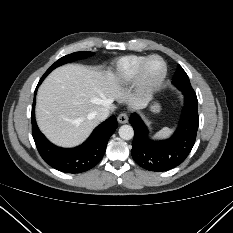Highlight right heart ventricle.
I'll list each match as a JSON object with an SVG mask.
<instances>
[{
    "instance_id": "e07e8e85",
    "label": "right heart ventricle",
    "mask_w": 233,
    "mask_h": 233,
    "mask_svg": "<svg viewBox=\"0 0 233 233\" xmlns=\"http://www.w3.org/2000/svg\"><path fill=\"white\" fill-rule=\"evenodd\" d=\"M145 58L146 56L142 55H128L118 59L112 71L113 81L121 86L133 82Z\"/></svg>"
}]
</instances>
